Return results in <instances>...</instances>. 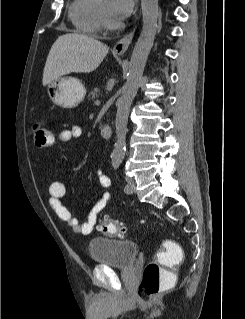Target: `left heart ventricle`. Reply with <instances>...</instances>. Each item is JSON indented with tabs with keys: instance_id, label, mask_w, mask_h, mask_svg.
Listing matches in <instances>:
<instances>
[{
	"instance_id": "1",
	"label": "left heart ventricle",
	"mask_w": 245,
	"mask_h": 319,
	"mask_svg": "<svg viewBox=\"0 0 245 319\" xmlns=\"http://www.w3.org/2000/svg\"><path fill=\"white\" fill-rule=\"evenodd\" d=\"M101 3L104 6V8H106V10L113 16V0H102Z\"/></svg>"
}]
</instances>
